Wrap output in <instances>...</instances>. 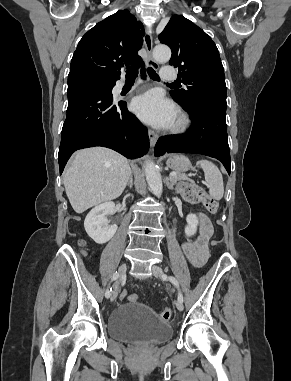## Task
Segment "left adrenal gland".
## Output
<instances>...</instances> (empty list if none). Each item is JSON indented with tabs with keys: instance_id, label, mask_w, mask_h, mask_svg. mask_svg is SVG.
Instances as JSON below:
<instances>
[{
	"instance_id": "obj_1",
	"label": "left adrenal gland",
	"mask_w": 291,
	"mask_h": 381,
	"mask_svg": "<svg viewBox=\"0 0 291 381\" xmlns=\"http://www.w3.org/2000/svg\"><path fill=\"white\" fill-rule=\"evenodd\" d=\"M165 182L169 189L174 190V187H173L174 184L170 182V179L168 177H166Z\"/></svg>"
}]
</instances>
